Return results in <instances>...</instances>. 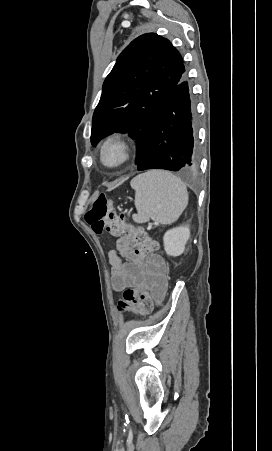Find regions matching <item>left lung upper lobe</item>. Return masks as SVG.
<instances>
[{"label":"left lung upper lobe","instance_id":"left-lung-upper-lobe-1","mask_svg":"<svg viewBox=\"0 0 272 451\" xmlns=\"http://www.w3.org/2000/svg\"><path fill=\"white\" fill-rule=\"evenodd\" d=\"M184 75L182 57L168 39L147 33L133 40L104 81L93 114L92 145L116 131L129 133L138 142V164L167 98Z\"/></svg>","mask_w":272,"mask_h":451}]
</instances>
